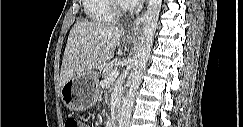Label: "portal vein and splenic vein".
<instances>
[{
    "instance_id": "18ae733b",
    "label": "portal vein and splenic vein",
    "mask_w": 243,
    "mask_h": 127,
    "mask_svg": "<svg viewBox=\"0 0 243 127\" xmlns=\"http://www.w3.org/2000/svg\"><path fill=\"white\" fill-rule=\"evenodd\" d=\"M118 75H119V71L117 69L110 72V75L101 82V85L107 86L111 81L117 78Z\"/></svg>"
}]
</instances>
